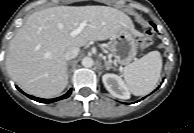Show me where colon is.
Returning a JSON list of instances; mask_svg holds the SVG:
<instances>
[{"mask_svg": "<svg viewBox=\"0 0 194 133\" xmlns=\"http://www.w3.org/2000/svg\"><path fill=\"white\" fill-rule=\"evenodd\" d=\"M152 42H153V36L151 32L146 31L139 42L140 48L142 50H145L152 44Z\"/></svg>", "mask_w": 194, "mask_h": 133, "instance_id": "1", "label": "colon"}]
</instances>
